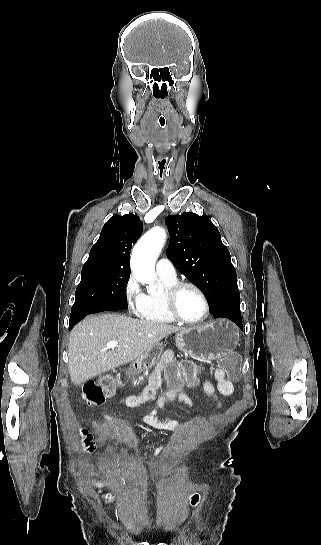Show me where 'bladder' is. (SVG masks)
Listing matches in <instances>:
<instances>
[{
  "label": "bladder",
  "mask_w": 321,
  "mask_h": 545,
  "mask_svg": "<svg viewBox=\"0 0 321 545\" xmlns=\"http://www.w3.org/2000/svg\"><path fill=\"white\" fill-rule=\"evenodd\" d=\"M136 523H138L141 527H143L146 530L153 529V522L151 520V512H150V504L148 502H143L136 514Z\"/></svg>",
  "instance_id": "bladder-1"
}]
</instances>
